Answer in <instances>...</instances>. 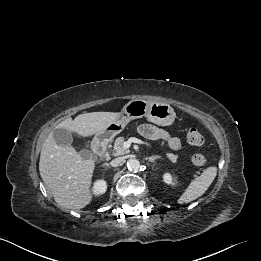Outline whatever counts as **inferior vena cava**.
<instances>
[{"label": "inferior vena cava", "mask_w": 261, "mask_h": 261, "mask_svg": "<svg viewBox=\"0 0 261 261\" xmlns=\"http://www.w3.org/2000/svg\"><path fill=\"white\" fill-rule=\"evenodd\" d=\"M122 161H123V159L120 158V157H118V158L113 159V160L110 162V165H111L112 167H118V166H120V165L122 164Z\"/></svg>", "instance_id": "602c4592"}]
</instances>
